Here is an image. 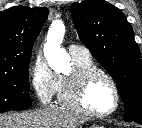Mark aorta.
Listing matches in <instances>:
<instances>
[{"label":"aorta","instance_id":"762f6f07","mask_svg":"<svg viewBox=\"0 0 142 128\" xmlns=\"http://www.w3.org/2000/svg\"><path fill=\"white\" fill-rule=\"evenodd\" d=\"M65 34V26L61 21L51 24L47 41L44 45V54L49 66L56 72H64L71 68V58L69 54L61 49V43Z\"/></svg>","mask_w":142,"mask_h":128}]
</instances>
